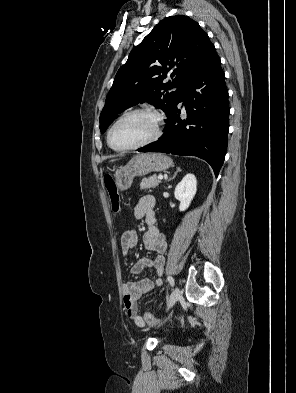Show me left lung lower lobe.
<instances>
[{
	"instance_id": "left-lung-lower-lobe-1",
	"label": "left lung lower lobe",
	"mask_w": 296,
	"mask_h": 393,
	"mask_svg": "<svg viewBox=\"0 0 296 393\" xmlns=\"http://www.w3.org/2000/svg\"><path fill=\"white\" fill-rule=\"evenodd\" d=\"M184 102L187 118H180ZM228 90L221 61L214 50L180 95L163 136L140 152L197 156L207 161L215 176L223 164L228 135Z\"/></svg>"
}]
</instances>
